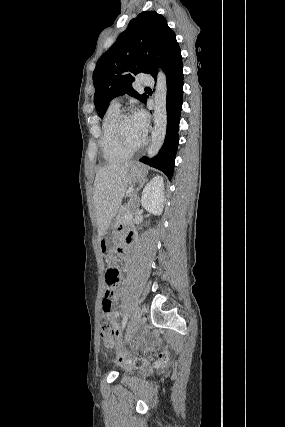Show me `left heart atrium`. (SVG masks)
I'll list each match as a JSON object with an SVG mask.
<instances>
[{
  "mask_svg": "<svg viewBox=\"0 0 285 427\" xmlns=\"http://www.w3.org/2000/svg\"><path fill=\"white\" fill-rule=\"evenodd\" d=\"M134 118L142 136L145 138L148 130L147 114L144 111H139L134 115Z\"/></svg>",
  "mask_w": 285,
  "mask_h": 427,
  "instance_id": "1",
  "label": "left heart atrium"
}]
</instances>
